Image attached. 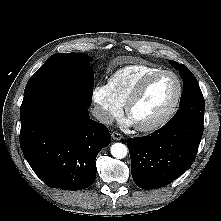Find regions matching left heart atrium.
<instances>
[{
    "label": "left heart atrium",
    "mask_w": 221,
    "mask_h": 221,
    "mask_svg": "<svg viewBox=\"0 0 221 221\" xmlns=\"http://www.w3.org/2000/svg\"><path fill=\"white\" fill-rule=\"evenodd\" d=\"M126 123L127 124H132L133 122L129 119V120H126Z\"/></svg>",
    "instance_id": "1"
}]
</instances>
